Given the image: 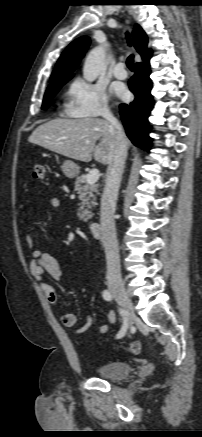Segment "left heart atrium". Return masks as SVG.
Listing matches in <instances>:
<instances>
[{"label": "left heart atrium", "mask_w": 202, "mask_h": 437, "mask_svg": "<svg viewBox=\"0 0 202 437\" xmlns=\"http://www.w3.org/2000/svg\"><path fill=\"white\" fill-rule=\"evenodd\" d=\"M114 90L117 93V95L122 98H124L127 95V92L123 87H115Z\"/></svg>", "instance_id": "obj_1"}]
</instances>
